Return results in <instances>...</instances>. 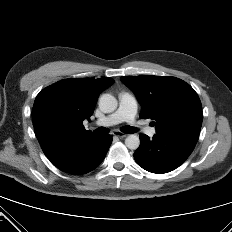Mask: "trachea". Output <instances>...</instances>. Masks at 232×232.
<instances>
[{
    "instance_id": "3493384b",
    "label": "trachea",
    "mask_w": 232,
    "mask_h": 232,
    "mask_svg": "<svg viewBox=\"0 0 232 232\" xmlns=\"http://www.w3.org/2000/svg\"><path fill=\"white\" fill-rule=\"evenodd\" d=\"M121 131L123 133H127V134H131V133H134L137 131V129H135L134 127H131V126H123L121 128ZM95 134H100V135H103V134H107L109 133V130L105 127H99L97 128L95 131H94Z\"/></svg>"
}]
</instances>
